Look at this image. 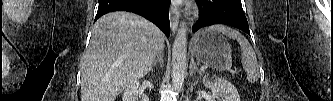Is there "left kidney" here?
<instances>
[{
	"instance_id": "left-kidney-1",
	"label": "left kidney",
	"mask_w": 333,
	"mask_h": 101,
	"mask_svg": "<svg viewBox=\"0 0 333 101\" xmlns=\"http://www.w3.org/2000/svg\"><path fill=\"white\" fill-rule=\"evenodd\" d=\"M203 84L212 90V97L217 101H240L237 89L225 79L218 78L212 82L204 78Z\"/></svg>"
}]
</instances>
